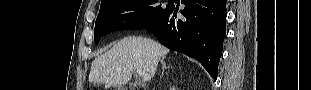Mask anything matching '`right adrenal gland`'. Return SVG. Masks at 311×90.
<instances>
[{"label": "right adrenal gland", "mask_w": 311, "mask_h": 90, "mask_svg": "<svg viewBox=\"0 0 311 90\" xmlns=\"http://www.w3.org/2000/svg\"><path fill=\"white\" fill-rule=\"evenodd\" d=\"M161 64H162V74H161V77H162L165 69L170 68V66H167L164 60H161Z\"/></svg>", "instance_id": "1"}]
</instances>
